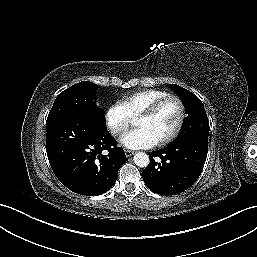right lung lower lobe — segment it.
I'll return each instance as SVG.
<instances>
[{
  "instance_id": "1",
  "label": "right lung lower lobe",
  "mask_w": 257,
  "mask_h": 257,
  "mask_svg": "<svg viewBox=\"0 0 257 257\" xmlns=\"http://www.w3.org/2000/svg\"><path fill=\"white\" fill-rule=\"evenodd\" d=\"M46 128L47 156L64 186L89 196L113 186L126 156L106 129L73 114L47 119Z\"/></svg>"
}]
</instances>
